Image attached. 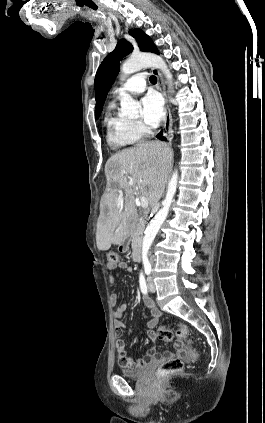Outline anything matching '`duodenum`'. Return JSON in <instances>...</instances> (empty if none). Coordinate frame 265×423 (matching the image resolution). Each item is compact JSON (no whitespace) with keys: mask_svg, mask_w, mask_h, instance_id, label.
Returning a JSON list of instances; mask_svg holds the SVG:
<instances>
[{"mask_svg":"<svg viewBox=\"0 0 265 423\" xmlns=\"http://www.w3.org/2000/svg\"><path fill=\"white\" fill-rule=\"evenodd\" d=\"M132 259L135 262L140 261L141 259V242L140 239H135L132 249Z\"/></svg>","mask_w":265,"mask_h":423,"instance_id":"410a0bca","label":"duodenum"}]
</instances>
